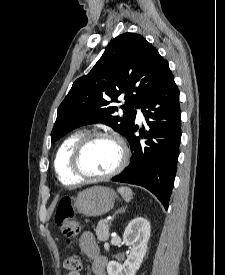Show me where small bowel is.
Listing matches in <instances>:
<instances>
[{"instance_id":"small-bowel-1","label":"small bowel","mask_w":225,"mask_h":275,"mask_svg":"<svg viewBox=\"0 0 225 275\" xmlns=\"http://www.w3.org/2000/svg\"><path fill=\"white\" fill-rule=\"evenodd\" d=\"M80 250L91 261L93 275H106L107 259L100 254L98 243L91 232H84L79 239ZM67 275H81L79 272H68Z\"/></svg>"}]
</instances>
